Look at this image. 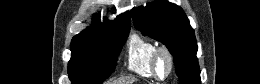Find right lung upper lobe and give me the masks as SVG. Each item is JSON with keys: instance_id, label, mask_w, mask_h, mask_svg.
<instances>
[{"instance_id": "right-lung-upper-lobe-1", "label": "right lung upper lobe", "mask_w": 260, "mask_h": 84, "mask_svg": "<svg viewBox=\"0 0 260 84\" xmlns=\"http://www.w3.org/2000/svg\"><path fill=\"white\" fill-rule=\"evenodd\" d=\"M130 27V15L126 12L117 16L114 21H108L105 19L103 23H93L91 27H88L78 35L74 36L71 44L89 42L100 38L109 32L129 31Z\"/></svg>"}]
</instances>
